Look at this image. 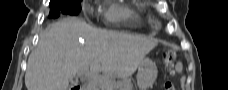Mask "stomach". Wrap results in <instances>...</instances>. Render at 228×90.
Returning a JSON list of instances; mask_svg holds the SVG:
<instances>
[{
	"label": "stomach",
	"mask_w": 228,
	"mask_h": 90,
	"mask_svg": "<svg viewBox=\"0 0 228 90\" xmlns=\"http://www.w3.org/2000/svg\"><path fill=\"white\" fill-rule=\"evenodd\" d=\"M156 64L149 58L143 59L138 67L137 83L140 90H147L150 88L157 77Z\"/></svg>",
	"instance_id": "stomach-1"
}]
</instances>
